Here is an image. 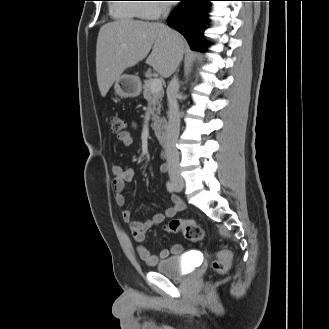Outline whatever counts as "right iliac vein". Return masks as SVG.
Wrapping results in <instances>:
<instances>
[{
  "instance_id": "1",
  "label": "right iliac vein",
  "mask_w": 329,
  "mask_h": 329,
  "mask_svg": "<svg viewBox=\"0 0 329 329\" xmlns=\"http://www.w3.org/2000/svg\"><path fill=\"white\" fill-rule=\"evenodd\" d=\"M174 184L180 189L184 188V181L182 179H173Z\"/></svg>"
}]
</instances>
